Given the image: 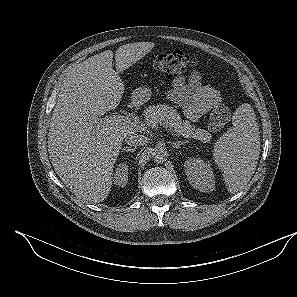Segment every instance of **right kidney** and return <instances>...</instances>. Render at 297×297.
<instances>
[{
    "mask_svg": "<svg viewBox=\"0 0 297 297\" xmlns=\"http://www.w3.org/2000/svg\"><path fill=\"white\" fill-rule=\"evenodd\" d=\"M114 184L118 187H124L128 182V165L121 163L115 170Z\"/></svg>",
    "mask_w": 297,
    "mask_h": 297,
    "instance_id": "right-kidney-1",
    "label": "right kidney"
}]
</instances>
